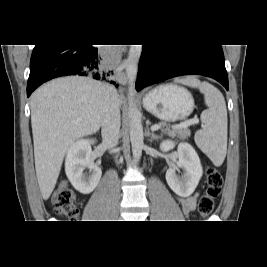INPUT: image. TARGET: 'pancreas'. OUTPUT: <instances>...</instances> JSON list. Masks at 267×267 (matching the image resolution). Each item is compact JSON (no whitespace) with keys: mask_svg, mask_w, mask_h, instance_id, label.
Wrapping results in <instances>:
<instances>
[{"mask_svg":"<svg viewBox=\"0 0 267 267\" xmlns=\"http://www.w3.org/2000/svg\"><path fill=\"white\" fill-rule=\"evenodd\" d=\"M160 126H162L161 132L172 138L178 137L182 140H185L191 135V132L188 128H175L174 126H168L163 122L160 123Z\"/></svg>","mask_w":267,"mask_h":267,"instance_id":"cf45deb5","label":"pancreas"}]
</instances>
